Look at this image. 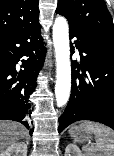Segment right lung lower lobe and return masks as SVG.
<instances>
[{"label": "right lung lower lobe", "mask_w": 114, "mask_h": 156, "mask_svg": "<svg viewBox=\"0 0 114 156\" xmlns=\"http://www.w3.org/2000/svg\"><path fill=\"white\" fill-rule=\"evenodd\" d=\"M40 28L37 21L0 39V120L18 121L27 128L32 110L29 96L45 55ZM23 56L28 59L22 60L24 69L17 71L15 66Z\"/></svg>", "instance_id": "obj_1"}]
</instances>
